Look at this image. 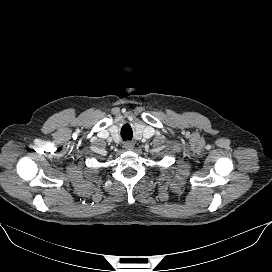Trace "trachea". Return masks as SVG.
Listing matches in <instances>:
<instances>
[{
	"label": "trachea",
	"mask_w": 272,
	"mask_h": 272,
	"mask_svg": "<svg viewBox=\"0 0 272 272\" xmlns=\"http://www.w3.org/2000/svg\"><path fill=\"white\" fill-rule=\"evenodd\" d=\"M121 136H122L123 140H131V138H132V131L125 132L122 129Z\"/></svg>",
	"instance_id": "1"
}]
</instances>
